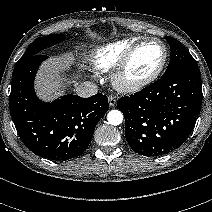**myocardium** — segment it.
<instances>
[{"label": "myocardium", "instance_id": "f54148a6", "mask_svg": "<svg viewBox=\"0 0 212 212\" xmlns=\"http://www.w3.org/2000/svg\"><path fill=\"white\" fill-rule=\"evenodd\" d=\"M152 42L158 43L159 45H161L163 49V58L160 64L153 72H151L145 77L135 80L129 79L127 77V71L134 55L143 45ZM167 60H168V49L163 41L157 38H144L138 40L126 52V54L119 62L118 66L115 68L114 73L112 75L113 85L118 91L123 93H134L140 91L145 87L149 86L150 84H152L160 76V74L162 73V71L166 66Z\"/></svg>", "mask_w": 212, "mask_h": 212}]
</instances>
